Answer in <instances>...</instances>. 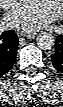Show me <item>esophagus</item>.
Instances as JSON below:
<instances>
[{"instance_id":"1","label":"esophagus","mask_w":63,"mask_h":107,"mask_svg":"<svg viewBox=\"0 0 63 107\" xmlns=\"http://www.w3.org/2000/svg\"><path fill=\"white\" fill-rule=\"evenodd\" d=\"M36 33L35 32H26V33H23L24 36H31V35H35Z\"/></svg>"}]
</instances>
